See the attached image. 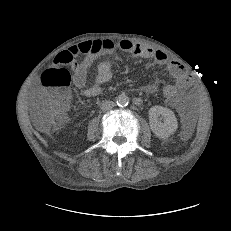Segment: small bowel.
<instances>
[{"label":"small bowel","instance_id":"small-bowel-1","mask_svg":"<svg viewBox=\"0 0 231 231\" xmlns=\"http://www.w3.org/2000/svg\"><path fill=\"white\" fill-rule=\"evenodd\" d=\"M118 47L133 57L152 59L156 63L165 66L175 79L174 84L178 87V90H183L190 85L191 79L184 66L170 59L165 52L129 40H121ZM115 49L116 44L112 40L103 39L83 42L71 46L61 53L63 56L61 64L69 65L72 68L73 83L77 88L83 90L84 96H97L102 91L103 86L111 79L112 69L109 58L114 55ZM78 56L83 57L80 62L75 60ZM96 60H100L97 66L96 80L92 85L86 87L88 71ZM156 87V84H149L145 87V91L152 93L156 90ZM166 103L176 107L179 100L177 97L172 100L166 98Z\"/></svg>","mask_w":231,"mask_h":231}]
</instances>
